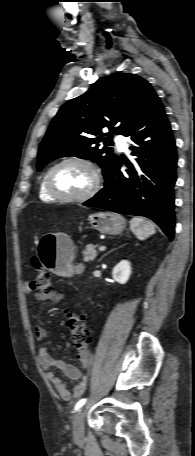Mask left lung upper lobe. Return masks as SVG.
<instances>
[{"instance_id": "left-lung-upper-lobe-1", "label": "left lung upper lobe", "mask_w": 195, "mask_h": 456, "mask_svg": "<svg viewBox=\"0 0 195 456\" xmlns=\"http://www.w3.org/2000/svg\"><path fill=\"white\" fill-rule=\"evenodd\" d=\"M156 96L148 81L135 74L100 78L86 93L60 108L40 144L37 169L54 159L76 156L97 163L106 177L119 161L108 148L113 133L125 136ZM106 135L109 137H103ZM104 141L108 144L101 147Z\"/></svg>"}]
</instances>
